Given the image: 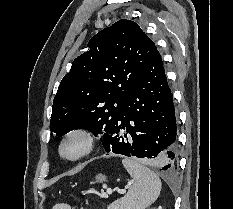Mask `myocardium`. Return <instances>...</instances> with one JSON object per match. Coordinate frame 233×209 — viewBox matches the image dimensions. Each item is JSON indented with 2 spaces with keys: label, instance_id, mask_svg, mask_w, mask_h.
Wrapping results in <instances>:
<instances>
[{
  "label": "myocardium",
  "instance_id": "f54148a6",
  "mask_svg": "<svg viewBox=\"0 0 233 209\" xmlns=\"http://www.w3.org/2000/svg\"><path fill=\"white\" fill-rule=\"evenodd\" d=\"M78 140L80 148L77 152L69 154L66 146L71 140ZM95 146V136L91 130L85 127H74L66 131L58 144V154L60 158L68 162H74L90 154Z\"/></svg>",
  "mask_w": 233,
  "mask_h": 209
}]
</instances>
